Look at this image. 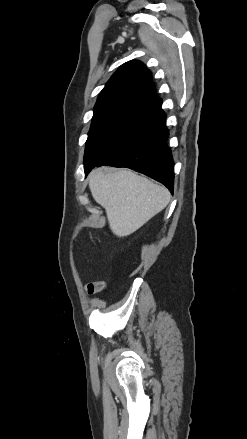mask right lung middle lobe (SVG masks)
<instances>
[{
	"instance_id": "obj_1",
	"label": "right lung middle lobe",
	"mask_w": 247,
	"mask_h": 439,
	"mask_svg": "<svg viewBox=\"0 0 247 439\" xmlns=\"http://www.w3.org/2000/svg\"><path fill=\"white\" fill-rule=\"evenodd\" d=\"M154 116V113L124 104L95 107L86 141L84 166L96 164L139 131Z\"/></svg>"
}]
</instances>
